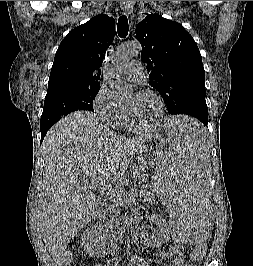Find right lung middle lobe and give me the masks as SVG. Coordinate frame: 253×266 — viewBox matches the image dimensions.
<instances>
[{"instance_id":"right-lung-middle-lobe-1","label":"right lung middle lobe","mask_w":253,"mask_h":266,"mask_svg":"<svg viewBox=\"0 0 253 266\" xmlns=\"http://www.w3.org/2000/svg\"><path fill=\"white\" fill-rule=\"evenodd\" d=\"M100 86L94 88L61 89L47 92L40 129L50 128L63 116L80 110H93V100Z\"/></svg>"}]
</instances>
